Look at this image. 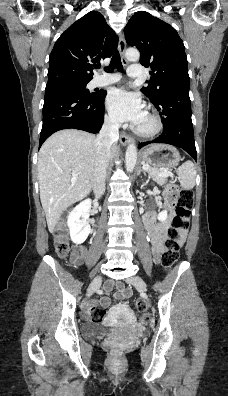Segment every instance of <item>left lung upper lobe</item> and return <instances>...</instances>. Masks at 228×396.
<instances>
[{
    "mask_svg": "<svg viewBox=\"0 0 228 396\" xmlns=\"http://www.w3.org/2000/svg\"><path fill=\"white\" fill-rule=\"evenodd\" d=\"M130 46L140 51V63L150 67L151 79L141 91L158 105L172 91L189 92L190 79L183 41L166 22L145 11L135 13L124 29ZM181 106V100H175Z\"/></svg>",
    "mask_w": 228,
    "mask_h": 396,
    "instance_id": "obj_1",
    "label": "left lung upper lobe"
}]
</instances>
